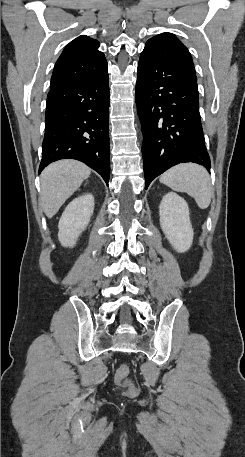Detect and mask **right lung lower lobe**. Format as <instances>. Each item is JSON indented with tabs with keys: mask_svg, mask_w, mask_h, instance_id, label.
<instances>
[{
	"mask_svg": "<svg viewBox=\"0 0 245 457\" xmlns=\"http://www.w3.org/2000/svg\"><path fill=\"white\" fill-rule=\"evenodd\" d=\"M109 103L107 69L51 88L39 173L51 162L71 158L97 171L108 185Z\"/></svg>",
	"mask_w": 245,
	"mask_h": 457,
	"instance_id": "98d812e1",
	"label": "right lung lower lobe"
}]
</instances>
